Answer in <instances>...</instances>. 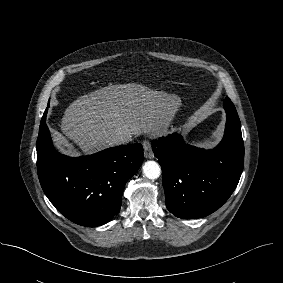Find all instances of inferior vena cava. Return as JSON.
<instances>
[{"mask_svg": "<svg viewBox=\"0 0 283 283\" xmlns=\"http://www.w3.org/2000/svg\"><path fill=\"white\" fill-rule=\"evenodd\" d=\"M132 140L131 136L127 134H119L112 139L113 145H124Z\"/></svg>", "mask_w": 283, "mask_h": 283, "instance_id": "602c4592", "label": "inferior vena cava"}]
</instances>
